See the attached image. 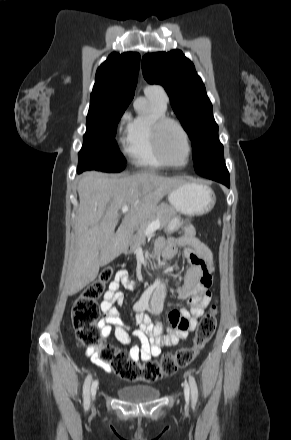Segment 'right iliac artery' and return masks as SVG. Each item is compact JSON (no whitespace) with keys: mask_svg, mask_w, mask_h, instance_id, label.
<instances>
[{"mask_svg":"<svg viewBox=\"0 0 291 440\" xmlns=\"http://www.w3.org/2000/svg\"><path fill=\"white\" fill-rule=\"evenodd\" d=\"M92 376L89 374L83 385V397H84V408L85 410H88L90 406V384H91Z\"/></svg>","mask_w":291,"mask_h":440,"instance_id":"1","label":"right iliac artery"}]
</instances>
